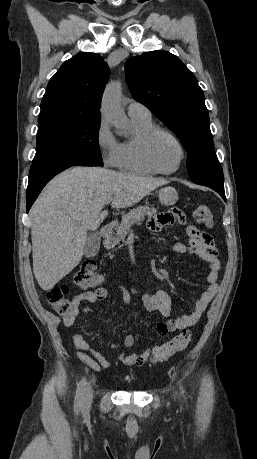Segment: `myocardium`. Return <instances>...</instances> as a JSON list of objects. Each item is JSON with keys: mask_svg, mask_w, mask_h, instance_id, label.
<instances>
[{"mask_svg": "<svg viewBox=\"0 0 257 459\" xmlns=\"http://www.w3.org/2000/svg\"><path fill=\"white\" fill-rule=\"evenodd\" d=\"M159 135H166L170 137L176 143V145L178 146L180 150V153H181L180 160L176 168H174L173 170L166 171V170L161 169L156 164L153 158L152 146H153L155 139ZM142 152H143V157L146 163L148 164V166L152 170H154L156 173L163 174V175H171V174H175L176 172H178L186 159V150L181 140L173 132L165 128H160V127H154L145 135L143 142H142Z\"/></svg>", "mask_w": 257, "mask_h": 459, "instance_id": "myocardium-1", "label": "myocardium"}]
</instances>
